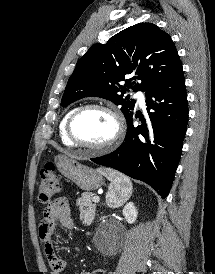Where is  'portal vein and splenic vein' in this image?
I'll return each mask as SVG.
<instances>
[{
  "label": "portal vein and splenic vein",
  "mask_w": 215,
  "mask_h": 274,
  "mask_svg": "<svg viewBox=\"0 0 215 274\" xmlns=\"http://www.w3.org/2000/svg\"><path fill=\"white\" fill-rule=\"evenodd\" d=\"M99 200H100L99 196H94L93 197V202L98 203Z\"/></svg>",
  "instance_id": "18ae733b"
}]
</instances>
